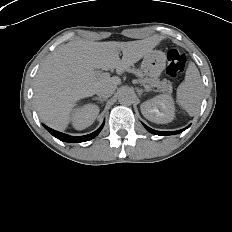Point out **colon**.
Instances as JSON below:
<instances>
[{"instance_id": "1", "label": "colon", "mask_w": 232, "mask_h": 232, "mask_svg": "<svg viewBox=\"0 0 232 232\" xmlns=\"http://www.w3.org/2000/svg\"><path fill=\"white\" fill-rule=\"evenodd\" d=\"M186 57L178 50L171 49L167 53V73L171 77H178L184 70Z\"/></svg>"}]
</instances>
